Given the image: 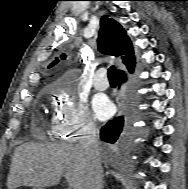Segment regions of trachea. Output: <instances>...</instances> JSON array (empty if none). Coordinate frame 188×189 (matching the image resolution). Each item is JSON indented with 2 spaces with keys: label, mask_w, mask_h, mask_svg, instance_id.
Instances as JSON below:
<instances>
[{
  "label": "trachea",
  "mask_w": 188,
  "mask_h": 189,
  "mask_svg": "<svg viewBox=\"0 0 188 189\" xmlns=\"http://www.w3.org/2000/svg\"><path fill=\"white\" fill-rule=\"evenodd\" d=\"M108 79L111 83H116L117 82V72L115 66H111L108 69Z\"/></svg>",
  "instance_id": "obj_1"
}]
</instances>
